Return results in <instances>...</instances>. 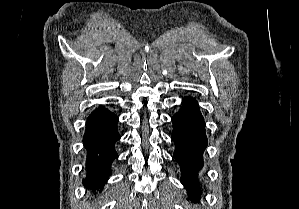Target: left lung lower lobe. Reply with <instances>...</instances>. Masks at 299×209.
Here are the masks:
<instances>
[{
  "label": "left lung lower lobe",
  "mask_w": 299,
  "mask_h": 209,
  "mask_svg": "<svg viewBox=\"0 0 299 209\" xmlns=\"http://www.w3.org/2000/svg\"><path fill=\"white\" fill-rule=\"evenodd\" d=\"M182 105L172 118L174 158L181 167L182 184L188 189L190 198L197 199L201 194L197 173L203 167L202 155L208 144L205 122L196 100L186 97Z\"/></svg>",
  "instance_id": "1"
}]
</instances>
